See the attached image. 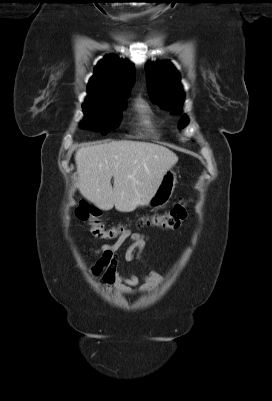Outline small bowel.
<instances>
[{
	"mask_svg": "<svg viewBox=\"0 0 272 401\" xmlns=\"http://www.w3.org/2000/svg\"><path fill=\"white\" fill-rule=\"evenodd\" d=\"M127 240L129 245L123 254V258L126 261L135 259L142 261L141 252L147 246V238L143 234L126 229L114 244L102 245L93 251L98 258L91 268L92 274L101 276L102 283L105 286L114 287L124 293L145 292L163 282L164 277L155 271H149L145 275H123L120 273L117 252ZM140 282L142 284L135 288Z\"/></svg>",
	"mask_w": 272,
	"mask_h": 401,
	"instance_id": "small-bowel-1",
	"label": "small bowel"
}]
</instances>
